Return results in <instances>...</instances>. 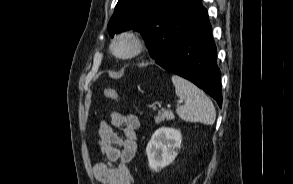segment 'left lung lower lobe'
Instances as JSON below:
<instances>
[{
  "label": "left lung lower lobe",
  "mask_w": 293,
  "mask_h": 184,
  "mask_svg": "<svg viewBox=\"0 0 293 184\" xmlns=\"http://www.w3.org/2000/svg\"><path fill=\"white\" fill-rule=\"evenodd\" d=\"M208 12L201 0H183L153 57L164 69L186 78L212 96L221 107L220 70Z\"/></svg>",
  "instance_id": "0a47b994"
}]
</instances>
